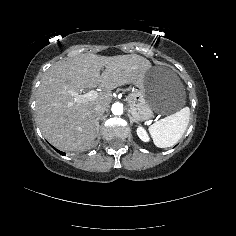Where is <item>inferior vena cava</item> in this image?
<instances>
[{"label":"inferior vena cava","instance_id":"inferior-vena-cava-1","mask_svg":"<svg viewBox=\"0 0 236 236\" xmlns=\"http://www.w3.org/2000/svg\"><path fill=\"white\" fill-rule=\"evenodd\" d=\"M93 112L95 114L96 120L98 121L100 116L105 112V109L102 106L97 105V106H94Z\"/></svg>","mask_w":236,"mask_h":236}]
</instances>
